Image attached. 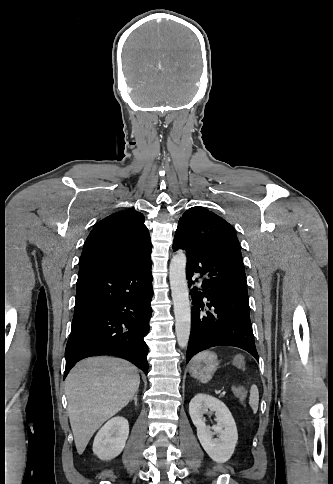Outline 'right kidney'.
<instances>
[{
    "label": "right kidney",
    "instance_id": "ca27d5eb",
    "mask_svg": "<svg viewBox=\"0 0 333 484\" xmlns=\"http://www.w3.org/2000/svg\"><path fill=\"white\" fill-rule=\"evenodd\" d=\"M128 435V421L123 417L112 418L97 433L93 442L94 454L105 461L117 457L124 449Z\"/></svg>",
    "mask_w": 333,
    "mask_h": 484
}]
</instances>
